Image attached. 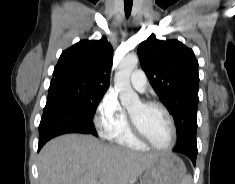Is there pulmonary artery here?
<instances>
[{
	"label": "pulmonary artery",
	"instance_id": "1",
	"mask_svg": "<svg viewBox=\"0 0 235 184\" xmlns=\"http://www.w3.org/2000/svg\"><path fill=\"white\" fill-rule=\"evenodd\" d=\"M132 86L139 92H144L148 85L146 74L142 70H135L130 74Z\"/></svg>",
	"mask_w": 235,
	"mask_h": 184
}]
</instances>
